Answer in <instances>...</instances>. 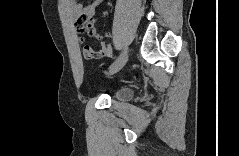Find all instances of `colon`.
Returning a JSON list of instances; mask_svg holds the SVG:
<instances>
[{
	"label": "colon",
	"instance_id": "1",
	"mask_svg": "<svg viewBox=\"0 0 239 156\" xmlns=\"http://www.w3.org/2000/svg\"><path fill=\"white\" fill-rule=\"evenodd\" d=\"M85 19H86V16H85V15H82L81 20L84 21ZM78 29H79V31L82 32V33H84V31H85L84 26H80Z\"/></svg>",
	"mask_w": 239,
	"mask_h": 156
}]
</instances>
